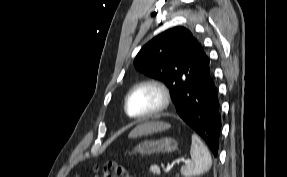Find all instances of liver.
Listing matches in <instances>:
<instances>
[{
	"label": "liver",
	"mask_w": 287,
	"mask_h": 177,
	"mask_svg": "<svg viewBox=\"0 0 287 177\" xmlns=\"http://www.w3.org/2000/svg\"><path fill=\"white\" fill-rule=\"evenodd\" d=\"M168 128H170V125L163 122H147L132 130L129 134V138H135L144 134L163 131Z\"/></svg>",
	"instance_id": "liver-1"
}]
</instances>
